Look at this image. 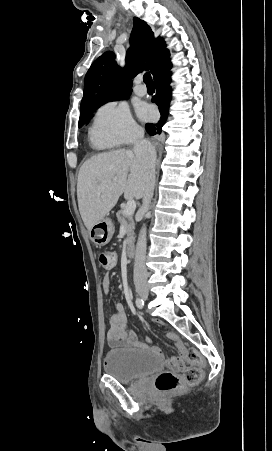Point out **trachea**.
Here are the masks:
<instances>
[{
    "instance_id": "3493384b",
    "label": "trachea",
    "mask_w": 272,
    "mask_h": 451,
    "mask_svg": "<svg viewBox=\"0 0 272 451\" xmlns=\"http://www.w3.org/2000/svg\"><path fill=\"white\" fill-rule=\"evenodd\" d=\"M143 81H144V83H146V85H154V83L152 81V77L149 72H146L143 75Z\"/></svg>"
}]
</instances>
